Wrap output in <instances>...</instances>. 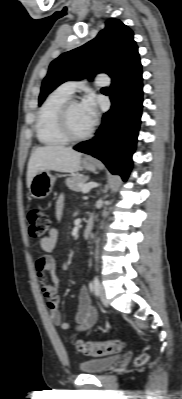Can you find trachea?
<instances>
[{
  "mask_svg": "<svg viewBox=\"0 0 182 399\" xmlns=\"http://www.w3.org/2000/svg\"><path fill=\"white\" fill-rule=\"evenodd\" d=\"M103 89H108L107 87H104Z\"/></svg>",
  "mask_w": 182,
  "mask_h": 399,
  "instance_id": "3493384b",
  "label": "trachea"
}]
</instances>
